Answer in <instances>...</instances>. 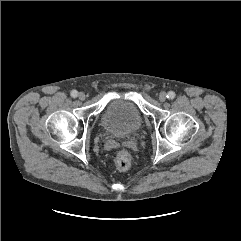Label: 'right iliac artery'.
I'll use <instances>...</instances> for the list:
<instances>
[{"instance_id":"right-iliac-artery-1","label":"right iliac artery","mask_w":241,"mask_h":241,"mask_svg":"<svg viewBox=\"0 0 241 241\" xmlns=\"http://www.w3.org/2000/svg\"><path fill=\"white\" fill-rule=\"evenodd\" d=\"M70 94L73 98H76L78 95V92L76 90H72Z\"/></svg>"}]
</instances>
